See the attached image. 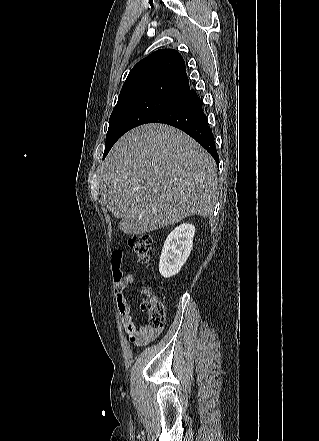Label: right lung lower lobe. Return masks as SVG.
Here are the masks:
<instances>
[{
  "instance_id": "right-lung-lower-lobe-1",
  "label": "right lung lower lobe",
  "mask_w": 319,
  "mask_h": 441,
  "mask_svg": "<svg viewBox=\"0 0 319 441\" xmlns=\"http://www.w3.org/2000/svg\"><path fill=\"white\" fill-rule=\"evenodd\" d=\"M148 123H164L181 129L204 147L216 162L219 161L214 136L202 109V101L193 90H189Z\"/></svg>"
}]
</instances>
